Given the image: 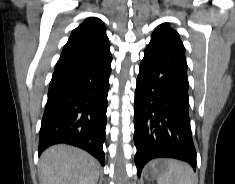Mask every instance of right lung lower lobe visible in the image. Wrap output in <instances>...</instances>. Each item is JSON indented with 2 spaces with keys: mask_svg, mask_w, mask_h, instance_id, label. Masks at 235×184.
I'll return each mask as SVG.
<instances>
[{
  "mask_svg": "<svg viewBox=\"0 0 235 184\" xmlns=\"http://www.w3.org/2000/svg\"><path fill=\"white\" fill-rule=\"evenodd\" d=\"M112 57L59 59L49 84L42 118L39 155L49 146L80 147L105 164L103 143Z\"/></svg>",
  "mask_w": 235,
  "mask_h": 184,
  "instance_id": "obj_1",
  "label": "right lung lower lobe"
}]
</instances>
